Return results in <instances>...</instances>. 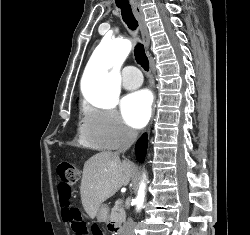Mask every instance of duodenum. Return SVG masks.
Instances as JSON below:
<instances>
[{
	"mask_svg": "<svg viewBox=\"0 0 250 235\" xmlns=\"http://www.w3.org/2000/svg\"><path fill=\"white\" fill-rule=\"evenodd\" d=\"M111 233L113 235H120V231L119 229L116 227V226H113L111 229H110Z\"/></svg>",
	"mask_w": 250,
	"mask_h": 235,
	"instance_id": "410a0bca",
	"label": "duodenum"
}]
</instances>
